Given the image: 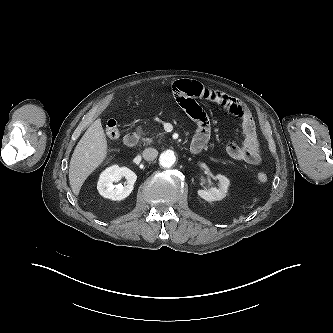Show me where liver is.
I'll use <instances>...</instances> for the list:
<instances>
[{"label":"liver","mask_w":333,"mask_h":333,"mask_svg":"<svg viewBox=\"0 0 333 333\" xmlns=\"http://www.w3.org/2000/svg\"><path fill=\"white\" fill-rule=\"evenodd\" d=\"M107 156V140L101 120H95L82 136L69 164V181L78 196L87 177L102 164Z\"/></svg>","instance_id":"obj_1"}]
</instances>
